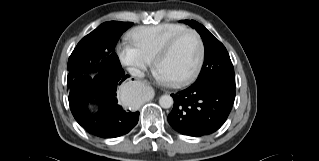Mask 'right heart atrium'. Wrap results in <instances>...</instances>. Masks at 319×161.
I'll return each mask as SVG.
<instances>
[{
  "label": "right heart atrium",
  "instance_id": "right-heart-atrium-1",
  "mask_svg": "<svg viewBox=\"0 0 319 161\" xmlns=\"http://www.w3.org/2000/svg\"><path fill=\"white\" fill-rule=\"evenodd\" d=\"M118 54L122 63L134 70H144L151 63L133 44L120 45Z\"/></svg>",
  "mask_w": 319,
  "mask_h": 161
}]
</instances>
